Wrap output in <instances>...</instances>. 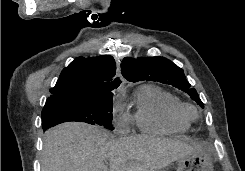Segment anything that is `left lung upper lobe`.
Instances as JSON below:
<instances>
[{
  "mask_svg": "<svg viewBox=\"0 0 245 171\" xmlns=\"http://www.w3.org/2000/svg\"><path fill=\"white\" fill-rule=\"evenodd\" d=\"M121 72L130 82L156 81L177 87L204 108L196 90L190 88L183 70L164 57L125 58L121 63Z\"/></svg>",
  "mask_w": 245,
  "mask_h": 171,
  "instance_id": "5c2ea615",
  "label": "left lung upper lobe"
}]
</instances>
